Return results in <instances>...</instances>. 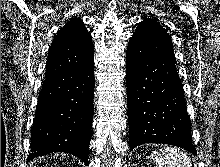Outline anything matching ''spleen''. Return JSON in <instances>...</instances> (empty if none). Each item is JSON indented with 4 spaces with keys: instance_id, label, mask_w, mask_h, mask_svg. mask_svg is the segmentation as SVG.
Masks as SVG:
<instances>
[{
    "instance_id": "3e777b00",
    "label": "spleen",
    "mask_w": 220,
    "mask_h": 167,
    "mask_svg": "<svg viewBox=\"0 0 220 167\" xmlns=\"http://www.w3.org/2000/svg\"><path fill=\"white\" fill-rule=\"evenodd\" d=\"M151 157L157 167H192V161L188 154L175 147H166L154 151Z\"/></svg>"
}]
</instances>
